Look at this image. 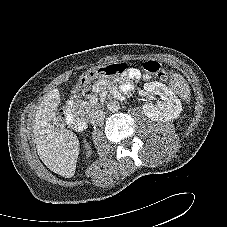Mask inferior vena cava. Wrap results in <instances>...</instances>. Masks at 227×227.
<instances>
[{
	"instance_id": "obj_1",
	"label": "inferior vena cava",
	"mask_w": 227,
	"mask_h": 227,
	"mask_svg": "<svg viewBox=\"0 0 227 227\" xmlns=\"http://www.w3.org/2000/svg\"><path fill=\"white\" fill-rule=\"evenodd\" d=\"M105 119V112L102 110H96L90 115V120L93 125L100 124Z\"/></svg>"
}]
</instances>
